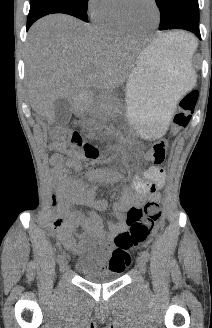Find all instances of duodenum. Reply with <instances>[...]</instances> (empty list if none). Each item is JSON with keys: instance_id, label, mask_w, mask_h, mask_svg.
<instances>
[{"instance_id": "410a0bca", "label": "duodenum", "mask_w": 212, "mask_h": 328, "mask_svg": "<svg viewBox=\"0 0 212 328\" xmlns=\"http://www.w3.org/2000/svg\"><path fill=\"white\" fill-rule=\"evenodd\" d=\"M87 99H88L87 95H84L80 99H78V101L75 103V106H74L75 114H79L81 112L83 105L87 101Z\"/></svg>"}]
</instances>
